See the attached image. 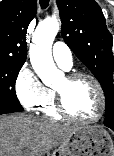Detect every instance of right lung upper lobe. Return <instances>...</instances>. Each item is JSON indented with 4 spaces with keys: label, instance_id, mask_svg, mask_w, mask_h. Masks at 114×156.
<instances>
[{
    "label": "right lung upper lobe",
    "instance_id": "obj_1",
    "mask_svg": "<svg viewBox=\"0 0 114 156\" xmlns=\"http://www.w3.org/2000/svg\"><path fill=\"white\" fill-rule=\"evenodd\" d=\"M36 10V0L0 2V60L25 63L26 32Z\"/></svg>",
    "mask_w": 114,
    "mask_h": 156
}]
</instances>
